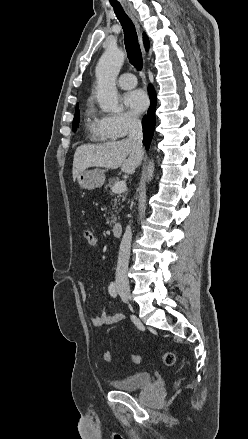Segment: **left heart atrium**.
Returning a JSON list of instances; mask_svg holds the SVG:
<instances>
[{
    "label": "left heart atrium",
    "instance_id": "39dd6f15",
    "mask_svg": "<svg viewBox=\"0 0 248 439\" xmlns=\"http://www.w3.org/2000/svg\"><path fill=\"white\" fill-rule=\"evenodd\" d=\"M124 104L134 113L143 112L148 106V98L144 91L137 89L126 93L123 97Z\"/></svg>",
    "mask_w": 248,
    "mask_h": 439
}]
</instances>
